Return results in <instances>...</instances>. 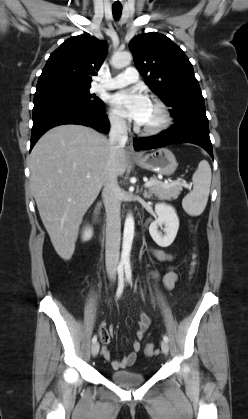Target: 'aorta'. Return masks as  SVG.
<instances>
[{
  "mask_svg": "<svg viewBox=\"0 0 248 419\" xmlns=\"http://www.w3.org/2000/svg\"><path fill=\"white\" fill-rule=\"evenodd\" d=\"M132 55L129 52L116 53L112 56L111 64L116 69H121L131 63ZM134 219L128 214L124 224L123 243L121 252V263L129 264L130 252L134 238Z\"/></svg>",
  "mask_w": 248,
  "mask_h": 419,
  "instance_id": "1",
  "label": "aorta"
}]
</instances>
